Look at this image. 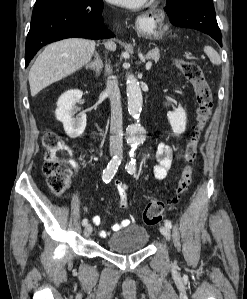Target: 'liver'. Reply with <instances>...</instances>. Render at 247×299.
I'll use <instances>...</instances> for the list:
<instances>
[{
	"mask_svg": "<svg viewBox=\"0 0 247 299\" xmlns=\"http://www.w3.org/2000/svg\"><path fill=\"white\" fill-rule=\"evenodd\" d=\"M95 46V41L81 38L64 39L46 46L29 71L31 96L86 65ZM106 47L114 51L116 44L109 41Z\"/></svg>",
	"mask_w": 247,
	"mask_h": 299,
	"instance_id": "1",
	"label": "liver"
}]
</instances>
